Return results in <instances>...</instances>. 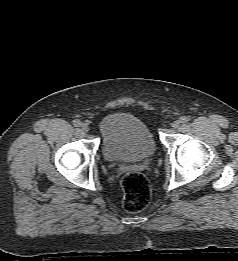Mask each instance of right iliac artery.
Masks as SVG:
<instances>
[{
  "label": "right iliac artery",
  "mask_w": 238,
  "mask_h": 261,
  "mask_svg": "<svg viewBox=\"0 0 238 261\" xmlns=\"http://www.w3.org/2000/svg\"><path fill=\"white\" fill-rule=\"evenodd\" d=\"M73 124H74V126H76V127L81 126L80 120H74V121H73Z\"/></svg>",
  "instance_id": "1"
}]
</instances>
